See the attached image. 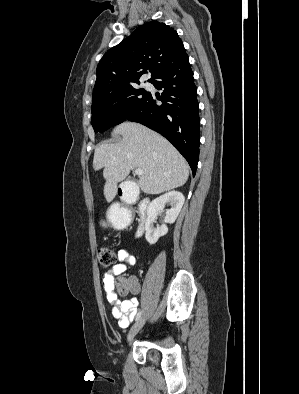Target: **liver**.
I'll use <instances>...</instances> for the list:
<instances>
[{"label": "liver", "instance_id": "6515ba94", "mask_svg": "<svg viewBox=\"0 0 299 394\" xmlns=\"http://www.w3.org/2000/svg\"><path fill=\"white\" fill-rule=\"evenodd\" d=\"M122 139L95 149L93 169L103 168L104 196L108 202L117 193V184L133 169H142L138 186L146 194H160L184 185L189 177L188 164L175 147L155 131L133 122L113 130Z\"/></svg>", "mask_w": 299, "mask_h": 394}]
</instances>
